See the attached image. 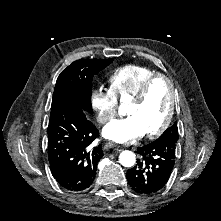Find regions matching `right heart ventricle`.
<instances>
[{
    "label": "right heart ventricle",
    "mask_w": 221,
    "mask_h": 221,
    "mask_svg": "<svg viewBox=\"0 0 221 221\" xmlns=\"http://www.w3.org/2000/svg\"><path fill=\"white\" fill-rule=\"evenodd\" d=\"M157 73V70L146 65H125L109 75V89L120 99L133 98L144 81Z\"/></svg>",
    "instance_id": "obj_1"
}]
</instances>
